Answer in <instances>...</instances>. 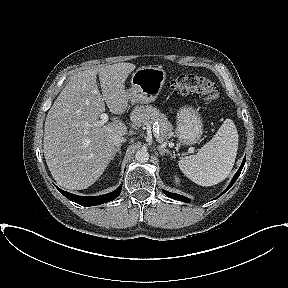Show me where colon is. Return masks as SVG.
I'll use <instances>...</instances> for the list:
<instances>
[{"label": "colon", "mask_w": 288, "mask_h": 288, "mask_svg": "<svg viewBox=\"0 0 288 288\" xmlns=\"http://www.w3.org/2000/svg\"><path fill=\"white\" fill-rule=\"evenodd\" d=\"M168 88L174 94L198 93L209 101L216 100L220 95L219 87L214 82L196 74L181 75L170 81Z\"/></svg>", "instance_id": "colon-1"}]
</instances>
